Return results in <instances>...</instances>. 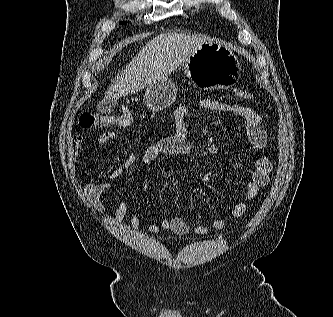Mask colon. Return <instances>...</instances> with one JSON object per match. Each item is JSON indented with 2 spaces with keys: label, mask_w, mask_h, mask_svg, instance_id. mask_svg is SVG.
Segmentation results:
<instances>
[{
  "label": "colon",
  "mask_w": 333,
  "mask_h": 317,
  "mask_svg": "<svg viewBox=\"0 0 333 317\" xmlns=\"http://www.w3.org/2000/svg\"><path fill=\"white\" fill-rule=\"evenodd\" d=\"M234 93L236 97L242 100H251L252 94L248 91L235 89ZM132 123V115L129 110L124 109L121 114L116 116H108L99 113H84L80 117V125L85 129H92L96 127H106V126H121L127 127Z\"/></svg>",
  "instance_id": "colon-1"
}]
</instances>
